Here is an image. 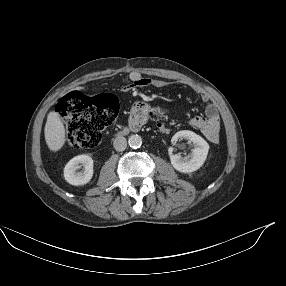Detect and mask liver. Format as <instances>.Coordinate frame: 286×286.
Wrapping results in <instances>:
<instances>
[{"label": "liver", "mask_w": 286, "mask_h": 286, "mask_svg": "<svg viewBox=\"0 0 286 286\" xmlns=\"http://www.w3.org/2000/svg\"><path fill=\"white\" fill-rule=\"evenodd\" d=\"M44 133L46 144L51 151H58L65 144V127L57 112L51 111L48 114Z\"/></svg>", "instance_id": "liver-1"}]
</instances>
